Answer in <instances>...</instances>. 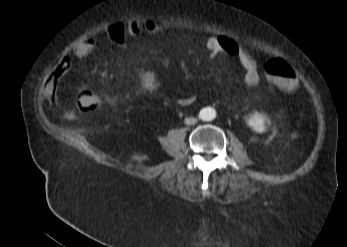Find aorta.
I'll return each mask as SVG.
<instances>
[{"label": "aorta", "mask_w": 347, "mask_h": 247, "mask_svg": "<svg viewBox=\"0 0 347 247\" xmlns=\"http://www.w3.org/2000/svg\"><path fill=\"white\" fill-rule=\"evenodd\" d=\"M199 117L204 121H211L215 118V111L211 108H204L201 110Z\"/></svg>", "instance_id": "762f6f07"}]
</instances>
